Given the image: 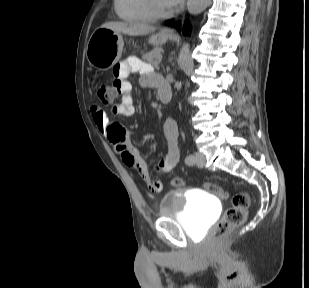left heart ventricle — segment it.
<instances>
[{
    "mask_svg": "<svg viewBox=\"0 0 309 288\" xmlns=\"http://www.w3.org/2000/svg\"><path fill=\"white\" fill-rule=\"evenodd\" d=\"M160 3L163 7H165L166 9H168L169 7L167 6L165 0H160Z\"/></svg>",
    "mask_w": 309,
    "mask_h": 288,
    "instance_id": "b2bd125f",
    "label": "left heart ventricle"
}]
</instances>
